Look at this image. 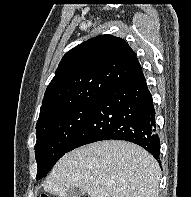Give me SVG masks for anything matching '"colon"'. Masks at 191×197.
<instances>
[{
	"mask_svg": "<svg viewBox=\"0 0 191 197\" xmlns=\"http://www.w3.org/2000/svg\"><path fill=\"white\" fill-rule=\"evenodd\" d=\"M39 197H50V196L47 195V194H42V195H40Z\"/></svg>",
	"mask_w": 191,
	"mask_h": 197,
	"instance_id": "colon-1",
	"label": "colon"
}]
</instances>
